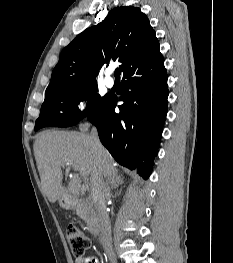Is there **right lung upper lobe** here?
Returning <instances> with one entry per match:
<instances>
[{
    "mask_svg": "<svg viewBox=\"0 0 233 263\" xmlns=\"http://www.w3.org/2000/svg\"><path fill=\"white\" fill-rule=\"evenodd\" d=\"M110 59L122 63L123 78L151 71L164 62L159 41L140 8L117 7L106 18L80 33L61 54L45 97L97 84L98 69Z\"/></svg>",
    "mask_w": 233,
    "mask_h": 263,
    "instance_id": "1",
    "label": "right lung upper lobe"
}]
</instances>
